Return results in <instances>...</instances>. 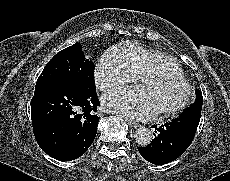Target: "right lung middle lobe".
<instances>
[{
	"label": "right lung middle lobe",
	"instance_id": "right-lung-middle-lobe-1",
	"mask_svg": "<svg viewBox=\"0 0 230 181\" xmlns=\"http://www.w3.org/2000/svg\"><path fill=\"white\" fill-rule=\"evenodd\" d=\"M94 63L85 58L80 43L57 53L44 67L36 88L41 85L71 84L95 91Z\"/></svg>",
	"mask_w": 230,
	"mask_h": 181
}]
</instances>
